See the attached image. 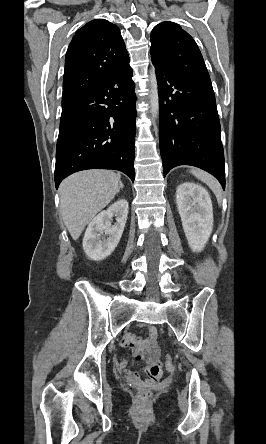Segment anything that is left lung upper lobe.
I'll list each match as a JSON object with an SVG mask.
<instances>
[{
  "mask_svg": "<svg viewBox=\"0 0 266 444\" xmlns=\"http://www.w3.org/2000/svg\"><path fill=\"white\" fill-rule=\"evenodd\" d=\"M152 61L184 77L210 78L194 39L180 25L162 22L151 33Z\"/></svg>",
  "mask_w": 266,
  "mask_h": 444,
  "instance_id": "5c2ea615",
  "label": "left lung upper lobe"
}]
</instances>
